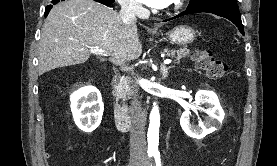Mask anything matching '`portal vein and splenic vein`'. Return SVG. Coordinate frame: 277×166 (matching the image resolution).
<instances>
[{
	"instance_id": "1",
	"label": "portal vein and splenic vein",
	"mask_w": 277,
	"mask_h": 166,
	"mask_svg": "<svg viewBox=\"0 0 277 166\" xmlns=\"http://www.w3.org/2000/svg\"><path fill=\"white\" fill-rule=\"evenodd\" d=\"M89 51L93 54H96V55L108 56L107 52H105L103 50H100V49H97V48H89ZM171 62H172L171 59L164 60V64H170Z\"/></svg>"
}]
</instances>
